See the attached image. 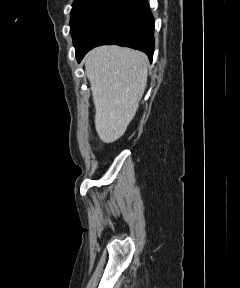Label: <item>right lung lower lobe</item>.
Masks as SVG:
<instances>
[{
  "mask_svg": "<svg viewBox=\"0 0 240 288\" xmlns=\"http://www.w3.org/2000/svg\"><path fill=\"white\" fill-rule=\"evenodd\" d=\"M117 44L145 52L152 60L154 19L147 0H120L91 32L87 40L75 46L80 62L92 48Z\"/></svg>",
  "mask_w": 240,
  "mask_h": 288,
  "instance_id": "1",
  "label": "right lung lower lobe"
}]
</instances>
